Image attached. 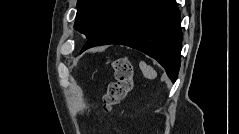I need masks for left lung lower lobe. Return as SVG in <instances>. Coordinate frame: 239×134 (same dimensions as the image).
I'll return each mask as SVG.
<instances>
[{
	"label": "left lung lower lobe",
	"instance_id": "obj_1",
	"mask_svg": "<svg viewBox=\"0 0 239 134\" xmlns=\"http://www.w3.org/2000/svg\"><path fill=\"white\" fill-rule=\"evenodd\" d=\"M180 20L175 0H123L81 53L96 45H126L156 59L175 82L181 57Z\"/></svg>",
	"mask_w": 239,
	"mask_h": 134
}]
</instances>
